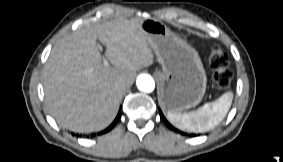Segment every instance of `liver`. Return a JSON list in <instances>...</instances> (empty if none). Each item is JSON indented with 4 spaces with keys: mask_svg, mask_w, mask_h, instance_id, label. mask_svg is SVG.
<instances>
[{
    "mask_svg": "<svg viewBox=\"0 0 283 162\" xmlns=\"http://www.w3.org/2000/svg\"><path fill=\"white\" fill-rule=\"evenodd\" d=\"M139 22L118 18L86 26L54 45L42 79L46 107L59 126L89 133L114 120L136 71L154 62ZM97 39L106 46L105 57L114 68L102 64Z\"/></svg>",
    "mask_w": 283,
    "mask_h": 162,
    "instance_id": "obj_1",
    "label": "liver"
}]
</instances>
